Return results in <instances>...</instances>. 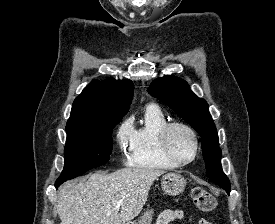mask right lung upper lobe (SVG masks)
Returning a JSON list of instances; mask_svg holds the SVG:
<instances>
[{
	"label": "right lung upper lobe",
	"mask_w": 275,
	"mask_h": 224,
	"mask_svg": "<svg viewBox=\"0 0 275 224\" xmlns=\"http://www.w3.org/2000/svg\"><path fill=\"white\" fill-rule=\"evenodd\" d=\"M133 96L130 80H93L74 100L67 126L122 119Z\"/></svg>",
	"instance_id": "obj_1"
}]
</instances>
